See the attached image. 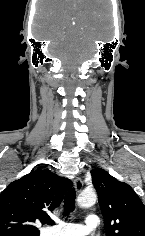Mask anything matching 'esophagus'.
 I'll return each mask as SVG.
<instances>
[{
  "mask_svg": "<svg viewBox=\"0 0 145 236\" xmlns=\"http://www.w3.org/2000/svg\"><path fill=\"white\" fill-rule=\"evenodd\" d=\"M74 187L76 189L77 192H80L82 190L83 187V181L81 180V178L76 177L74 179Z\"/></svg>",
  "mask_w": 145,
  "mask_h": 236,
  "instance_id": "obj_1",
  "label": "esophagus"
}]
</instances>
